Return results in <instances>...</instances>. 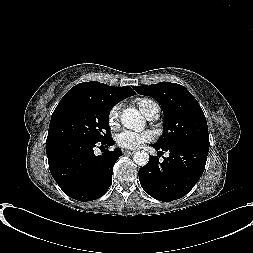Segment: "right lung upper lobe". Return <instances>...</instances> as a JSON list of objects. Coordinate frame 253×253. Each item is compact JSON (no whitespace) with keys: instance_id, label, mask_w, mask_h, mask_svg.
I'll use <instances>...</instances> for the list:
<instances>
[{"instance_id":"1","label":"right lung upper lobe","mask_w":253,"mask_h":253,"mask_svg":"<svg viewBox=\"0 0 253 253\" xmlns=\"http://www.w3.org/2000/svg\"><path fill=\"white\" fill-rule=\"evenodd\" d=\"M74 93L100 98L114 105L135 94L129 86L113 87L96 81L77 84L65 95Z\"/></svg>"}]
</instances>
